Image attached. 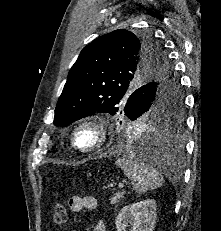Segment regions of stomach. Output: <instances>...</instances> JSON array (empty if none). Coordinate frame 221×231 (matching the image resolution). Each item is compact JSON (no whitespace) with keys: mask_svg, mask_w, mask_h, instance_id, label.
<instances>
[{"mask_svg":"<svg viewBox=\"0 0 221 231\" xmlns=\"http://www.w3.org/2000/svg\"><path fill=\"white\" fill-rule=\"evenodd\" d=\"M137 127H132V129L131 130H135ZM148 127H147V125L146 124H142V125H139V127H138V129L139 130H146Z\"/></svg>","mask_w":221,"mask_h":231,"instance_id":"obj_1","label":"stomach"}]
</instances>
